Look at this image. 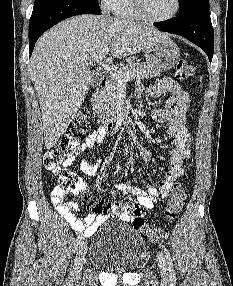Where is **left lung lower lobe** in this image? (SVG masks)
<instances>
[{"label": "left lung lower lobe", "mask_w": 233, "mask_h": 286, "mask_svg": "<svg viewBox=\"0 0 233 286\" xmlns=\"http://www.w3.org/2000/svg\"><path fill=\"white\" fill-rule=\"evenodd\" d=\"M161 31L181 35L202 48L210 62L214 52V31L209 13V0H199L182 15L154 23Z\"/></svg>", "instance_id": "0a47b994"}]
</instances>
